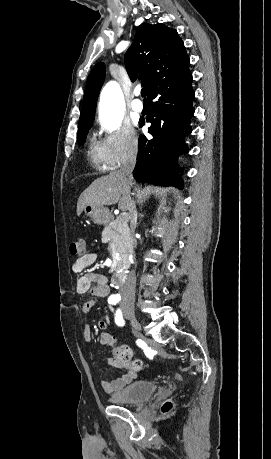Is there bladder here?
Masks as SVG:
<instances>
[{
	"instance_id": "31cf9c89",
	"label": "bladder",
	"mask_w": 271,
	"mask_h": 459,
	"mask_svg": "<svg viewBox=\"0 0 271 459\" xmlns=\"http://www.w3.org/2000/svg\"><path fill=\"white\" fill-rule=\"evenodd\" d=\"M156 391L155 381L130 382L119 392L110 395L113 404H141L147 401Z\"/></svg>"
}]
</instances>
